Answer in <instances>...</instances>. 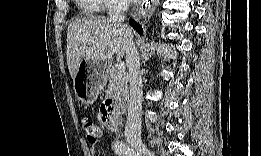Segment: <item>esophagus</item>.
Returning <instances> with one entry per match:
<instances>
[{"label":"esophagus","mask_w":261,"mask_h":156,"mask_svg":"<svg viewBox=\"0 0 261 156\" xmlns=\"http://www.w3.org/2000/svg\"><path fill=\"white\" fill-rule=\"evenodd\" d=\"M158 2L157 1H153L152 3H149L147 5H145V8H143V6L139 7V9H136L134 11V15L135 16H147L148 14H151L154 10L155 7L157 6Z\"/></svg>","instance_id":"obj_1"}]
</instances>
